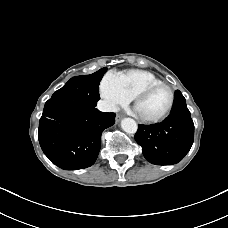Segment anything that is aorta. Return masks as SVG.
Wrapping results in <instances>:
<instances>
[{
	"mask_svg": "<svg viewBox=\"0 0 228 228\" xmlns=\"http://www.w3.org/2000/svg\"><path fill=\"white\" fill-rule=\"evenodd\" d=\"M121 128L124 132L129 134H134L137 132L138 125L136 121L132 118H124L121 121Z\"/></svg>",
	"mask_w": 228,
	"mask_h": 228,
	"instance_id": "obj_1",
	"label": "aorta"
}]
</instances>
